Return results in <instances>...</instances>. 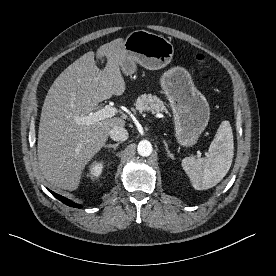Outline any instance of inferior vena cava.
Returning <instances> with one entry per match:
<instances>
[{"label": "inferior vena cava", "instance_id": "inferior-vena-cava-1", "mask_svg": "<svg viewBox=\"0 0 276 276\" xmlns=\"http://www.w3.org/2000/svg\"><path fill=\"white\" fill-rule=\"evenodd\" d=\"M109 134H110L111 139L115 140V141H125L128 138L127 130L121 126H114L110 130Z\"/></svg>", "mask_w": 276, "mask_h": 276}]
</instances>
